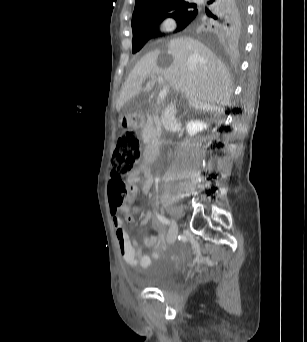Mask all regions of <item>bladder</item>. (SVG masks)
Segmentation results:
<instances>
[{"mask_svg": "<svg viewBox=\"0 0 307 342\" xmlns=\"http://www.w3.org/2000/svg\"><path fill=\"white\" fill-rule=\"evenodd\" d=\"M180 273L169 261L159 258L149 265L146 284L150 288L168 290L178 284Z\"/></svg>", "mask_w": 307, "mask_h": 342, "instance_id": "31cf9c89", "label": "bladder"}]
</instances>
